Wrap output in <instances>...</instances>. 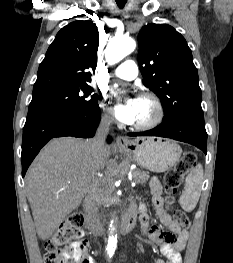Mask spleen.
Wrapping results in <instances>:
<instances>
[{
  "label": "spleen",
  "mask_w": 233,
  "mask_h": 263,
  "mask_svg": "<svg viewBox=\"0 0 233 263\" xmlns=\"http://www.w3.org/2000/svg\"><path fill=\"white\" fill-rule=\"evenodd\" d=\"M203 182V168L198 164L193 168L185 180L184 192L180 196L179 202L183 210L190 212L198 203Z\"/></svg>",
  "instance_id": "obj_1"
}]
</instances>
